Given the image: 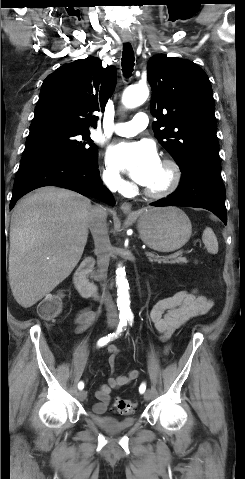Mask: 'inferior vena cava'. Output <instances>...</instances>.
I'll use <instances>...</instances> for the list:
<instances>
[{
	"instance_id": "inferior-vena-cava-1",
	"label": "inferior vena cava",
	"mask_w": 245,
	"mask_h": 479,
	"mask_svg": "<svg viewBox=\"0 0 245 479\" xmlns=\"http://www.w3.org/2000/svg\"><path fill=\"white\" fill-rule=\"evenodd\" d=\"M110 188L116 186L115 180L106 182ZM107 209L101 205H94L90 208L87 217V226L91 231L95 244V254L97 256V266L100 276L103 280L107 278V271L110 262L111 243L107 228ZM106 285L103 284V298L109 320H117L118 314L116 306L108 292Z\"/></svg>"
}]
</instances>
